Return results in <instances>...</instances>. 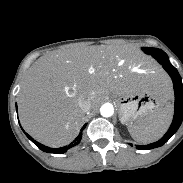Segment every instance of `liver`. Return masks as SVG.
Here are the masks:
<instances>
[{
    "label": "liver",
    "instance_id": "6515ba94",
    "mask_svg": "<svg viewBox=\"0 0 183 183\" xmlns=\"http://www.w3.org/2000/svg\"><path fill=\"white\" fill-rule=\"evenodd\" d=\"M135 64L149 72L143 81L126 71ZM139 90H154L164 102L172 96L167 75L132 47L88 46L52 52L35 61L23 79L18 97L21 124L37 141L64 146L74 140L84 120L80 98L90 99L94 108L111 92L123 95Z\"/></svg>",
    "mask_w": 183,
    "mask_h": 183
}]
</instances>
